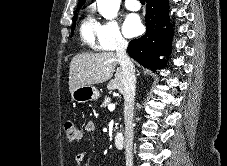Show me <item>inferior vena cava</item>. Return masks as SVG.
Returning a JSON list of instances; mask_svg holds the SVG:
<instances>
[{
    "label": "inferior vena cava",
    "mask_w": 227,
    "mask_h": 166,
    "mask_svg": "<svg viewBox=\"0 0 227 166\" xmlns=\"http://www.w3.org/2000/svg\"><path fill=\"white\" fill-rule=\"evenodd\" d=\"M128 42L119 38L116 45V56L123 71L124 78V120H125V158L126 166H133V110L136 88L134 65L126 53Z\"/></svg>",
    "instance_id": "obj_1"
}]
</instances>
